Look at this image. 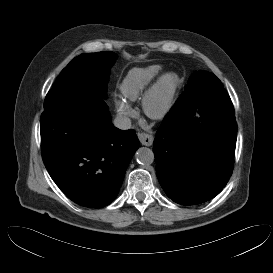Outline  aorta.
I'll use <instances>...</instances> for the list:
<instances>
[{
    "label": "aorta",
    "instance_id": "762f6f07",
    "mask_svg": "<svg viewBox=\"0 0 273 273\" xmlns=\"http://www.w3.org/2000/svg\"><path fill=\"white\" fill-rule=\"evenodd\" d=\"M135 158L139 164L147 166L154 162V153L147 147H140L135 153Z\"/></svg>",
    "mask_w": 273,
    "mask_h": 273
}]
</instances>
